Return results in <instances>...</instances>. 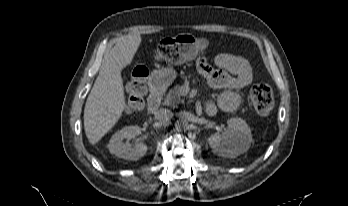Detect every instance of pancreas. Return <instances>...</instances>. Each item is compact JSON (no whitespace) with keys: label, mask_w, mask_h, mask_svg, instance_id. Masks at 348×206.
<instances>
[{"label":"pancreas","mask_w":348,"mask_h":206,"mask_svg":"<svg viewBox=\"0 0 348 206\" xmlns=\"http://www.w3.org/2000/svg\"><path fill=\"white\" fill-rule=\"evenodd\" d=\"M181 89L182 86L180 85L174 86V88L167 93L163 104L171 107H177L178 104L183 103L184 100L181 98Z\"/></svg>","instance_id":"1"}]
</instances>
